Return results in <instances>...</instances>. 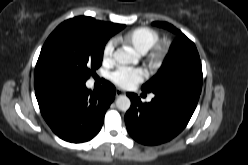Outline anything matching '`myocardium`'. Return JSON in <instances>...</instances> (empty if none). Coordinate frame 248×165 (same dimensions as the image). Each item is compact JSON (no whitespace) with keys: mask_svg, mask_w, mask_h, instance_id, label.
Returning a JSON list of instances; mask_svg holds the SVG:
<instances>
[{"mask_svg":"<svg viewBox=\"0 0 248 165\" xmlns=\"http://www.w3.org/2000/svg\"><path fill=\"white\" fill-rule=\"evenodd\" d=\"M168 53V48L165 45L156 43L149 50L148 59L151 63L155 65L161 64L166 58Z\"/></svg>","mask_w":248,"mask_h":165,"instance_id":"obj_1","label":"myocardium"}]
</instances>
